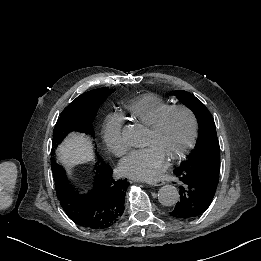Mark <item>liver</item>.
<instances>
[{"instance_id":"liver-1","label":"liver","mask_w":261,"mask_h":261,"mask_svg":"<svg viewBox=\"0 0 261 261\" xmlns=\"http://www.w3.org/2000/svg\"><path fill=\"white\" fill-rule=\"evenodd\" d=\"M90 153L91 147L85 138L70 137L69 141L62 147L58 155L63 161H67L70 158L78 156L88 159Z\"/></svg>"}]
</instances>
